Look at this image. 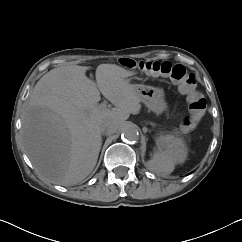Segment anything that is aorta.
<instances>
[{
  "instance_id": "762f6f07",
  "label": "aorta",
  "mask_w": 242,
  "mask_h": 242,
  "mask_svg": "<svg viewBox=\"0 0 242 242\" xmlns=\"http://www.w3.org/2000/svg\"><path fill=\"white\" fill-rule=\"evenodd\" d=\"M122 138L129 142H135L139 138V132L135 124H127L122 131Z\"/></svg>"
}]
</instances>
